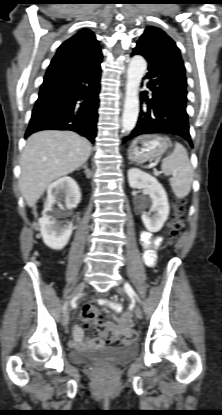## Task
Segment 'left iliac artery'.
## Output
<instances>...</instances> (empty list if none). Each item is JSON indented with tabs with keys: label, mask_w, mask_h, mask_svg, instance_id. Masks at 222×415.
<instances>
[{
	"label": "left iliac artery",
	"mask_w": 222,
	"mask_h": 415,
	"mask_svg": "<svg viewBox=\"0 0 222 415\" xmlns=\"http://www.w3.org/2000/svg\"><path fill=\"white\" fill-rule=\"evenodd\" d=\"M124 287H125V290H126L127 294H128L130 297H135V298H136V299L140 302V299H139L138 295H137V294H136V292L133 290V288L130 286V284L125 283Z\"/></svg>",
	"instance_id": "44dca946"
}]
</instances>
